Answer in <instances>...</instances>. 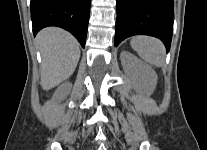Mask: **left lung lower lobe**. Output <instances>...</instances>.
Instances as JSON below:
<instances>
[{"label": "left lung lower lobe", "mask_w": 207, "mask_h": 150, "mask_svg": "<svg viewBox=\"0 0 207 150\" xmlns=\"http://www.w3.org/2000/svg\"><path fill=\"white\" fill-rule=\"evenodd\" d=\"M174 20L173 0H117L115 46L145 34L161 39L169 51Z\"/></svg>", "instance_id": "0a47b994"}]
</instances>
